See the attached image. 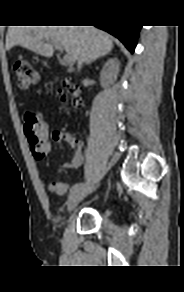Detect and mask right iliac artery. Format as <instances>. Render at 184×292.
I'll return each instance as SVG.
<instances>
[{
    "label": "right iliac artery",
    "instance_id": "right-iliac-artery-1",
    "mask_svg": "<svg viewBox=\"0 0 184 292\" xmlns=\"http://www.w3.org/2000/svg\"><path fill=\"white\" fill-rule=\"evenodd\" d=\"M86 186V184L84 183H79V184H76L75 186L72 187V189L70 190V194L78 191V190H81V189H84Z\"/></svg>",
    "mask_w": 184,
    "mask_h": 292
}]
</instances>
